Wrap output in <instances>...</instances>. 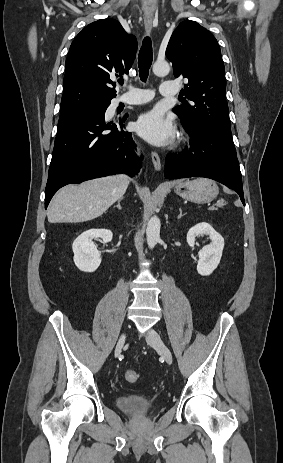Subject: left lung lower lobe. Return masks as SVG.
Wrapping results in <instances>:
<instances>
[{
	"instance_id": "left-lung-lower-lobe-1",
	"label": "left lung lower lobe",
	"mask_w": 283,
	"mask_h": 463,
	"mask_svg": "<svg viewBox=\"0 0 283 463\" xmlns=\"http://www.w3.org/2000/svg\"><path fill=\"white\" fill-rule=\"evenodd\" d=\"M184 129L192 135L190 148L185 153L166 157V178L196 176L214 179L235 190L245 205L232 135L209 126Z\"/></svg>"
}]
</instances>
